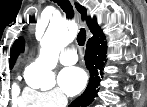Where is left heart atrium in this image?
<instances>
[{
    "mask_svg": "<svg viewBox=\"0 0 147 107\" xmlns=\"http://www.w3.org/2000/svg\"><path fill=\"white\" fill-rule=\"evenodd\" d=\"M87 81L86 73L79 67H68L61 71L58 82L61 90L69 96L80 93Z\"/></svg>",
    "mask_w": 147,
    "mask_h": 107,
    "instance_id": "1",
    "label": "left heart atrium"
}]
</instances>
